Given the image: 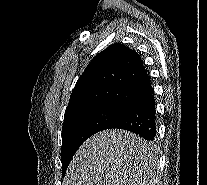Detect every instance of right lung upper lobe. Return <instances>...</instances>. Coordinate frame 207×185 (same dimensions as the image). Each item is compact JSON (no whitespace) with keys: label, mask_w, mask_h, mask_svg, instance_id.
I'll list each match as a JSON object with an SVG mask.
<instances>
[{"label":"right lung upper lobe","mask_w":207,"mask_h":185,"mask_svg":"<svg viewBox=\"0 0 207 185\" xmlns=\"http://www.w3.org/2000/svg\"><path fill=\"white\" fill-rule=\"evenodd\" d=\"M150 87L139 54L114 43L88 64L72 91L64 117L102 105L123 109Z\"/></svg>","instance_id":"1"}]
</instances>
